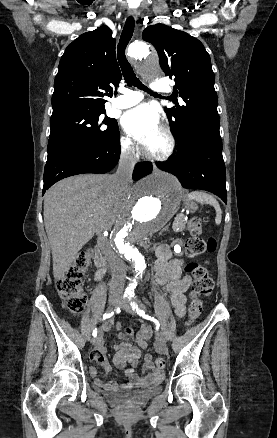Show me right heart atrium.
Instances as JSON below:
<instances>
[{"label":"right heart atrium","instance_id":"1","mask_svg":"<svg viewBox=\"0 0 277 438\" xmlns=\"http://www.w3.org/2000/svg\"><path fill=\"white\" fill-rule=\"evenodd\" d=\"M120 146L123 154L130 155L134 150V143L127 135L120 136Z\"/></svg>","mask_w":277,"mask_h":438}]
</instances>
